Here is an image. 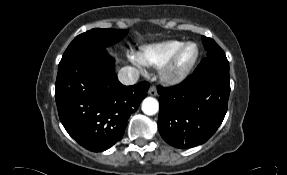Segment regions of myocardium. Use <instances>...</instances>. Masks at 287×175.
<instances>
[{
  "label": "myocardium",
  "instance_id": "obj_1",
  "mask_svg": "<svg viewBox=\"0 0 287 175\" xmlns=\"http://www.w3.org/2000/svg\"><path fill=\"white\" fill-rule=\"evenodd\" d=\"M189 46H194L195 53L192 60L183 67L178 65V61L182 52ZM200 57V48L195 42L183 43L177 51L172 55V57L162 66L161 77L162 79L170 84H178L183 82L189 77L195 68Z\"/></svg>",
  "mask_w": 287,
  "mask_h": 175
}]
</instances>
